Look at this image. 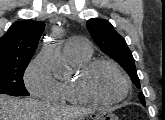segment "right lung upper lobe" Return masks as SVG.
Segmentation results:
<instances>
[{"mask_svg":"<svg viewBox=\"0 0 165 120\" xmlns=\"http://www.w3.org/2000/svg\"><path fill=\"white\" fill-rule=\"evenodd\" d=\"M45 28L43 22L17 21L0 38V60L31 59Z\"/></svg>","mask_w":165,"mask_h":120,"instance_id":"cb5924a9","label":"right lung upper lobe"}]
</instances>
